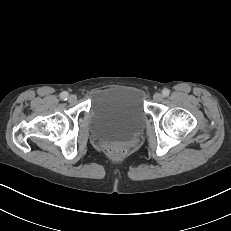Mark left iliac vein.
<instances>
[{
	"label": "left iliac vein",
	"mask_w": 231,
	"mask_h": 231,
	"mask_svg": "<svg viewBox=\"0 0 231 231\" xmlns=\"http://www.w3.org/2000/svg\"><path fill=\"white\" fill-rule=\"evenodd\" d=\"M153 99H154V101H156V102H160V101H162L163 96H162L161 93H155V94L153 95Z\"/></svg>",
	"instance_id": "1"
}]
</instances>
